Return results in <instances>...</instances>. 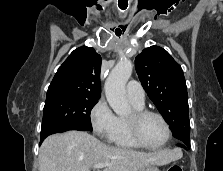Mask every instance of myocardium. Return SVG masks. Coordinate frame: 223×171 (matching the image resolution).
<instances>
[{
	"label": "myocardium",
	"instance_id": "f54148a6",
	"mask_svg": "<svg viewBox=\"0 0 223 171\" xmlns=\"http://www.w3.org/2000/svg\"><path fill=\"white\" fill-rule=\"evenodd\" d=\"M149 115L158 117L162 121L166 129L165 140L158 146L147 145L146 143L143 142V140L141 139L139 135V130H138L139 123L144 117L149 116ZM125 122H126L127 130L131 139L141 148H145L149 150H158V149L163 148L169 142L171 138V128L168 121L161 113L157 111L144 109V108L134 109L131 117L126 118Z\"/></svg>",
	"mask_w": 223,
	"mask_h": 171
}]
</instances>
